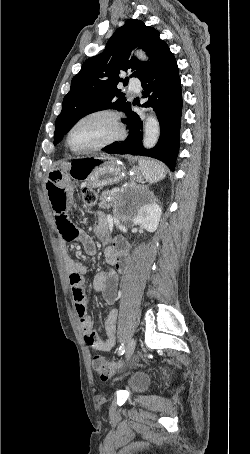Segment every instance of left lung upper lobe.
<instances>
[{"label":"left lung upper lobe","instance_id":"1","mask_svg":"<svg viewBox=\"0 0 250 454\" xmlns=\"http://www.w3.org/2000/svg\"><path fill=\"white\" fill-rule=\"evenodd\" d=\"M136 47L146 51L150 61L142 62L130 57L131 50ZM169 52L157 30L140 20H127L109 39L104 51L86 60L73 77L70 91L63 99L62 111L56 119L54 145L87 114L105 109L127 113L131 103L117 88L120 82L128 80V77H121L122 73L129 71L130 77L142 79Z\"/></svg>","mask_w":250,"mask_h":454}]
</instances>
